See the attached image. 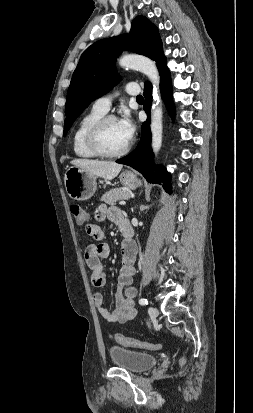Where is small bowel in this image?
Segmentation results:
<instances>
[{"mask_svg": "<svg viewBox=\"0 0 253 413\" xmlns=\"http://www.w3.org/2000/svg\"><path fill=\"white\" fill-rule=\"evenodd\" d=\"M105 218L116 223L120 229L126 221L121 212L105 204L99 205L95 210L96 221ZM86 232L93 237L97 244H90L85 250V261L91 270V282L95 288L94 301L101 316L109 323H127L135 319L137 309L135 306L136 288L132 285L135 275V259L137 247L134 242L123 241L121 245V269L117 280L118 299L114 310L110 311L105 307L103 294L99 291L106 283L105 267L102 259L109 256V245L104 242V232L97 223L86 225Z\"/></svg>", "mask_w": 253, "mask_h": 413, "instance_id": "1", "label": "small bowel"}]
</instances>
